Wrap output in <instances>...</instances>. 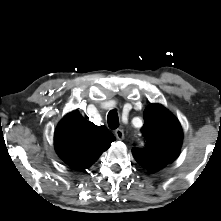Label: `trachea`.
I'll list each match as a JSON object with an SVG mask.
<instances>
[{"label": "trachea", "instance_id": "trachea-1", "mask_svg": "<svg viewBox=\"0 0 221 221\" xmlns=\"http://www.w3.org/2000/svg\"><path fill=\"white\" fill-rule=\"evenodd\" d=\"M107 120L110 129H116L119 127V118L116 110H111L108 113Z\"/></svg>", "mask_w": 221, "mask_h": 221}]
</instances>
